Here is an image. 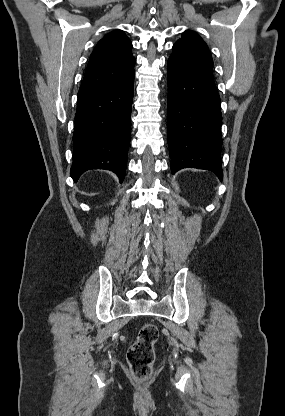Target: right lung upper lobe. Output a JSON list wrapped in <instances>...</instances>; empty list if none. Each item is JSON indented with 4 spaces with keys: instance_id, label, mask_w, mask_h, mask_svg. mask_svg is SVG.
I'll return each instance as SVG.
<instances>
[{
    "instance_id": "1",
    "label": "right lung upper lobe",
    "mask_w": 285,
    "mask_h": 416,
    "mask_svg": "<svg viewBox=\"0 0 285 416\" xmlns=\"http://www.w3.org/2000/svg\"><path fill=\"white\" fill-rule=\"evenodd\" d=\"M132 43L121 31L105 35L93 50L78 97L108 88L134 72Z\"/></svg>"
}]
</instances>
